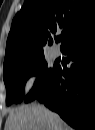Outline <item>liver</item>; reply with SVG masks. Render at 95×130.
Returning <instances> with one entry per match:
<instances>
[{"label":"liver","instance_id":"1","mask_svg":"<svg viewBox=\"0 0 95 130\" xmlns=\"http://www.w3.org/2000/svg\"><path fill=\"white\" fill-rule=\"evenodd\" d=\"M4 130H72L62 118L41 104L10 110Z\"/></svg>","mask_w":95,"mask_h":130}]
</instances>
